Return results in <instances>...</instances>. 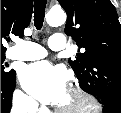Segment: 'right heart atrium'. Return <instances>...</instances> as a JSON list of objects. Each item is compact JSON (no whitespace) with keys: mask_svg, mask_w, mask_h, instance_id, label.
Listing matches in <instances>:
<instances>
[{"mask_svg":"<svg viewBox=\"0 0 121 113\" xmlns=\"http://www.w3.org/2000/svg\"><path fill=\"white\" fill-rule=\"evenodd\" d=\"M16 109L20 110H34L36 109V103L22 92H17L15 95Z\"/></svg>","mask_w":121,"mask_h":113,"instance_id":"obj_1","label":"right heart atrium"}]
</instances>
